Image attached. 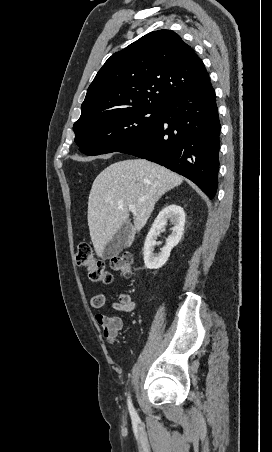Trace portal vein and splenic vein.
Returning <instances> with one entry per match:
<instances>
[{"label":"portal vein and splenic vein","instance_id":"portal-vein-and-splenic-vein-1","mask_svg":"<svg viewBox=\"0 0 272 452\" xmlns=\"http://www.w3.org/2000/svg\"><path fill=\"white\" fill-rule=\"evenodd\" d=\"M141 201H144V199H141ZM129 211L134 212L135 211V206L134 205H129Z\"/></svg>","mask_w":272,"mask_h":452}]
</instances>
